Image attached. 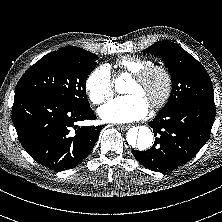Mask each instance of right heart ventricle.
Returning <instances> with one entry per match:
<instances>
[{
  "label": "right heart ventricle",
  "mask_w": 222,
  "mask_h": 222,
  "mask_svg": "<svg viewBox=\"0 0 222 222\" xmlns=\"http://www.w3.org/2000/svg\"><path fill=\"white\" fill-rule=\"evenodd\" d=\"M153 62L141 57H125L117 62L122 73L133 75L140 70L152 65Z\"/></svg>",
  "instance_id": "right-heart-ventricle-1"
}]
</instances>
